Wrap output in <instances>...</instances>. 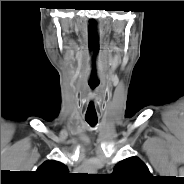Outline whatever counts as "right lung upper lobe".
Listing matches in <instances>:
<instances>
[{
  "label": "right lung upper lobe",
  "instance_id": "1",
  "mask_svg": "<svg viewBox=\"0 0 184 184\" xmlns=\"http://www.w3.org/2000/svg\"><path fill=\"white\" fill-rule=\"evenodd\" d=\"M44 182L47 183H63L68 177V168L54 160L44 162L36 171Z\"/></svg>",
  "mask_w": 184,
  "mask_h": 184
}]
</instances>
